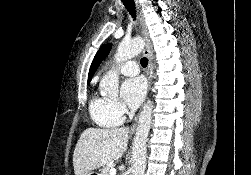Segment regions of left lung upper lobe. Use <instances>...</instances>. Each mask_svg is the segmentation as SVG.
Here are the masks:
<instances>
[{"label": "left lung upper lobe", "instance_id": "obj_1", "mask_svg": "<svg viewBox=\"0 0 251 175\" xmlns=\"http://www.w3.org/2000/svg\"><path fill=\"white\" fill-rule=\"evenodd\" d=\"M111 50V44H106L102 46L99 51L96 53L92 64L90 66L89 74H88V83L90 82L92 76L96 72L99 64L103 61V59L108 55Z\"/></svg>", "mask_w": 251, "mask_h": 175}]
</instances>
